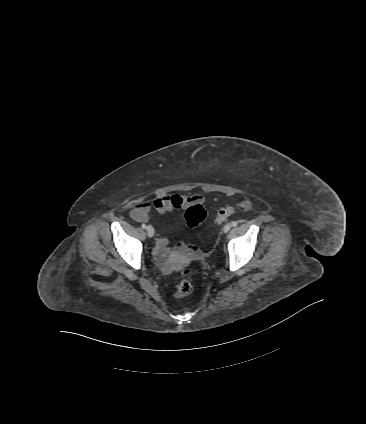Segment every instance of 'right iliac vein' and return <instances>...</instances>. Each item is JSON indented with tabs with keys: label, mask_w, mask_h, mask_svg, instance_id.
Masks as SVG:
<instances>
[{
	"label": "right iliac vein",
	"mask_w": 366,
	"mask_h": 424,
	"mask_svg": "<svg viewBox=\"0 0 366 424\" xmlns=\"http://www.w3.org/2000/svg\"><path fill=\"white\" fill-rule=\"evenodd\" d=\"M146 230H147V235H148L149 237H153V236H154V229H153V227L148 226V227L146 228Z\"/></svg>",
	"instance_id": "obj_1"
}]
</instances>
